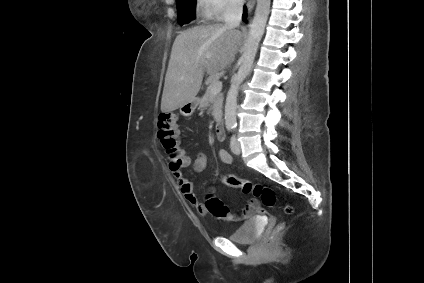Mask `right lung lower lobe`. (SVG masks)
Returning a JSON list of instances; mask_svg holds the SVG:
<instances>
[{"label": "right lung lower lobe", "instance_id": "right-lung-lower-lobe-1", "mask_svg": "<svg viewBox=\"0 0 424 283\" xmlns=\"http://www.w3.org/2000/svg\"><path fill=\"white\" fill-rule=\"evenodd\" d=\"M246 19V7H244V14H243V20Z\"/></svg>", "mask_w": 424, "mask_h": 283}]
</instances>
